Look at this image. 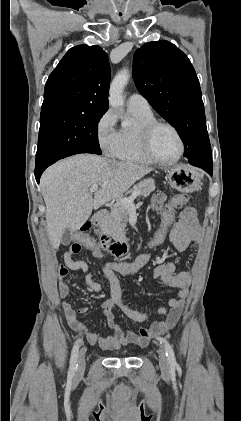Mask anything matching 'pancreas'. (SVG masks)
I'll return each instance as SVG.
<instances>
[{
    "label": "pancreas",
    "instance_id": "1",
    "mask_svg": "<svg viewBox=\"0 0 241 421\" xmlns=\"http://www.w3.org/2000/svg\"><path fill=\"white\" fill-rule=\"evenodd\" d=\"M154 190L155 182L153 179L149 178L134 185L132 190H130L127 194H130V197L133 193L139 192V196H147ZM120 199L121 198L117 199L116 204L111 208L110 214L107 215L101 222V230L103 233L113 237L114 239L125 238V227L129 219V208L118 204Z\"/></svg>",
    "mask_w": 241,
    "mask_h": 421
}]
</instances>
